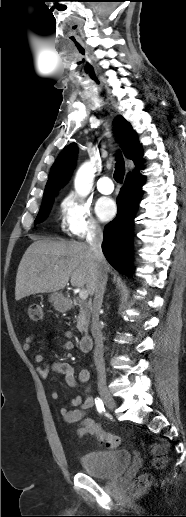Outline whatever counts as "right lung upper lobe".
<instances>
[{"mask_svg": "<svg viewBox=\"0 0 186 517\" xmlns=\"http://www.w3.org/2000/svg\"><path fill=\"white\" fill-rule=\"evenodd\" d=\"M115 125L118 128L117 131L124 155L127 158L132 159L136 165H141L142 150L138 144L137 135L132 129V126L121 116H118L115 119ZM76 157L77 146L75 143L66 146L61 151L51 168L43 198L50 193H57L58 190L67 182L75 166Z\"/></svg>", "mask_w": 186, "mask_h": 517, "instance_id": "1", "label": "right lung upper lobe"}]
</instances>
